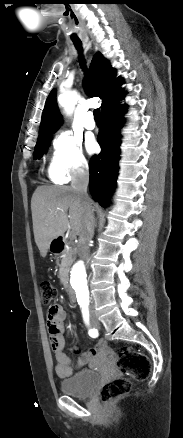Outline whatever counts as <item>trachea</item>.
<instances>
[{
  "label": "trachea",
  "mask_w": 183,
  "mask_h": 438,
  "mask_svg": "<svg viewBox=\"0 0 183 438\" xmlns=\"http://www.w3.org/2000/svg\"><path fill=\"white\" fill-rule=\"evenodd\" d=\"M76 49L79 52V61H80V65L83 68V70H86V65H85V60L83 58V48H82V44L80 42H75L74 43ZM94 119L95 121H100V109H95L94 112Z\"/></svg>",
  "instance_id": "trachea-1"
}]
</instances>
